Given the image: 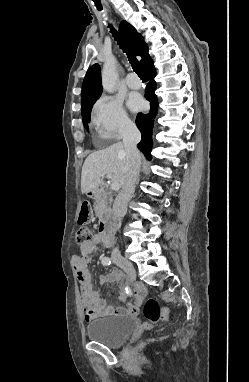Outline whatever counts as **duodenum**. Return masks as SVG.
Instances as JSON below:
<instances>
[{
  "mask_svg": "<svg viewBox=\"0 0 249 382\" xmlns=\"http://www.w3.org/2000/svg\"><path fill=\"white\" fill-rule=\"evenodd\" d=\"M91 192L93 193L91 198H96L99 194L98 188H93ZM99 231L103 236L111 239L116 231V222L110 218L102 219L99 222Z\"/></svg>",
  "mask_w": 249,
  "mask_h": 382,
  "instance_id": "obj_1",
  "label": "duodenum"
}]
</instances>
